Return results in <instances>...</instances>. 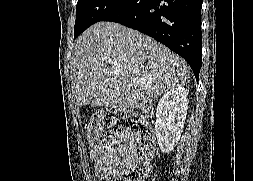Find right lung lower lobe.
<instances>
[{
    "label": "right lung lower lobe",
    "instance_id": "98d812e1",
    "mask_svg": "<svg viewBox=\"0 0 253 181\" xmlns=\"http://www.w3.org/2000/svg\"><path fill=\"white\" fill-rule=\"evenodd\" d=\"M202 0H127L103 21L117 22L163 43L182 56L196 80L202 64Z\"/></svg>",
    "mask_w": 253,
    "mask_h": 181
}]
</instances>
